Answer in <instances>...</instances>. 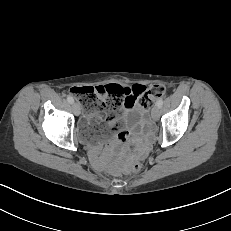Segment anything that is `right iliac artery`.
I'll list each match as a JSON object with an SVG mask.
<instances>
[{
  "mask_svg": "<svg viewBox=\"0 0 231 231\" xmlns=\"http://www.w3.org/2000/svg\"><path fill=\"white\" fill-rule=\"evenodd\" d=\"M67 101L72 104L74 102V99L71 96H68Z\"/></svg>",
  "mask_w": 231,
  "mask_h": 231,
  "instance_id": "1",
  "label": "right iliac artery"
}]
</instances>
